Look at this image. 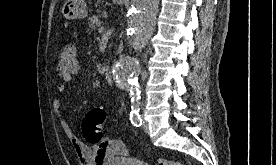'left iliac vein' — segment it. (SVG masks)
<instances>
[{
	"label": "left iliac vein",
	"instance_id": "4c4485c4",
	"mask_svg": "<svg viewBox=\"0 0 276 165\" xmlns=\"http://www.w3.org/2000/svg\"><path fill=\"white\" fill-rule=\"evenodd\" d=\"M142 128L147 131L148 130V122L146 120H143L142 122Z\"/></svg>",
	"mask_w": 276,
	"mask_h": 165
}]
</instances>
